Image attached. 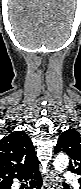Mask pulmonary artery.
<instances>
[{"instance_id": "obj_1", "label": "pulmonary artery", "mask_w": 81, "mask_h": 189, "mask_svg": "<svg viewBox=\"0 0 81 189\" xmlns=\"http://www.w3.org/2000/svg\"><path fill=\"white\" fill-rule=\"evenodd\" d=\"M65 179L70 181L74 187H76V188L78 187V183H77V180H76V177L74 176V174L67 172L65 174Z\"/></svg>"}]
</instances>
